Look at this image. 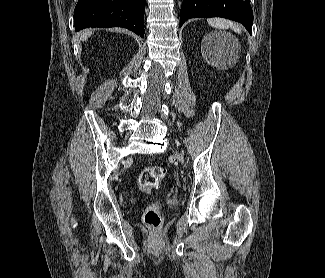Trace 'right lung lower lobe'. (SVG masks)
<instances>
[{
    "label": "right lung lower lobe",
    "mask_w": 325,
    "mask_h": 278,
    "mask_svg": "<svg viewBox=\"0 0 325 278\" xmlns=\"http://www.w3.org/2000/svg\"><path fill=\"white\" fill-rule=\"evenodd\" d=\"M146 0H79L74 10V26L124 27L144 36Z\"/></svg>",
    "instance_id": "1"
}]
</instances>
